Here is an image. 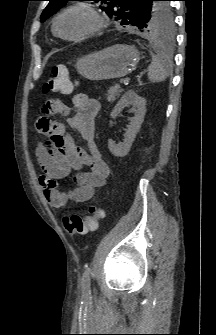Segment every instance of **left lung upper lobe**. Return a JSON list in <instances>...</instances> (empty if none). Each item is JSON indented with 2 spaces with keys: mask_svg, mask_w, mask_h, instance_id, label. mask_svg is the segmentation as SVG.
I'll use <instances>...</instances> for the list:
<instances>
[{
  "mask_svg": "<svg viewBox=\"0 0 216 335\" xmlns=\"http://www.w3.org/2000/svg\"><path fill=\"white\" fill-rule=\"evenodd\" d=\"M41 22L55 14L68 1L48 0ZM101 2V9L121 25L134 26L138 31L151 34H172L174 19L169 0H93Z\"/></svg>",
  "mask_w": 216,
  "mask_h": 335,
  "instance_id": "5c2ea615",
  "label": "left lung upper lobe"
}]
</instances>
